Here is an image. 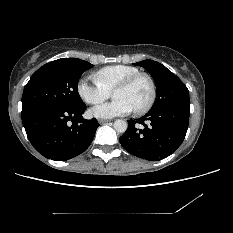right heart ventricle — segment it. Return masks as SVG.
I'll use <instances>...</instances> for the list:
<instances>
[{
	"label": "right heart ventricle",
	"mask_w": 233,
	"mask_h": 233,
	"mask_svg": "<svg viewBox=\"0 0 233 233\" xmlns=\"http://www.w3.org/2000/svg\"><path fill=\"white\" fill-rule=\"evenodd\" d=\"M138 72L139 69L134 66L121 64L111 65L95 72L93 78L110 92L119 82Z\"/></svg>",
	"instance_id": "e07e8e85"
}]
</instances>
